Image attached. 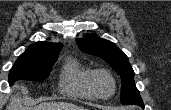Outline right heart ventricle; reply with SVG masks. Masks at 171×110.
<instances>
[{"instance_id":"1","label":"right heart ventricle","mask_w":171,"mask_h":110,"mask_svg":"<svg viewBox=\"0 0 171 110\" xmlns=\"http://www.w3.org/2000/svg\"><path fill=\"white\" fill-rule=\"evenodd\" d=\"M91 70L74 58H69L62 69L59 80L60 92L66 96L93 100L89 77Z\"/></svg>"}]
</instances>
